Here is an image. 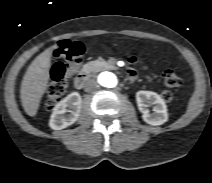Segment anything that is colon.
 <instances>
[{
	"mask_svg": "<svg viewBox=\"0 0 212 183\" xmlns=\"http://www.w3.org/2000/svg\"><path fill=\"white\" fill-rule=\"evenodd\" d=\"M84 55V47L79 42L63 40L58 43L55 56L62 59L57 62L51 72V83L48 88L46 106L52 109L63 97L67 90L68 79L79 68ZM162 83L167 89H176L182 86L183 79L175 71L167 69L162 74ZM161 97L169 102L172 99V93L169 90H163Z\"/></svg>",
	"mask_w": 212,
	"mask_h": 183,
	"instance_id": "1",
	"label": "colon"
}]
</instances>
